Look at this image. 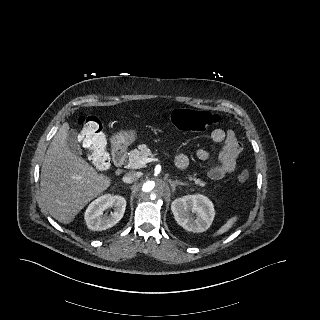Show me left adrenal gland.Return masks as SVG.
I'll use <instances>...</instances> for the list:
<instances>
[{"mask_svg": "<svg viewBox=\"0 0 320 320\" xmlns=\"http://www.w3.org/2000/svg\"><path fill=\"white\" fill-rule=\"evenodd\" d=\"M169 183L171 184L173 190H175L176 186H178V185H184V186L188 185L187 183H183L178 180H175V181L169 180Z\"/></svg>", "mask_w": 320, "mask_h": 320, "instance_id": "obj_1", "label": "left adrenal gland"}]
</instances>
